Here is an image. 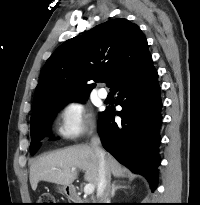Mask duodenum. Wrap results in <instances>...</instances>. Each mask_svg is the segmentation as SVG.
Instances as JSON below:
<instances>
[{"label": "duodenum", "instance_id": "410a0bca", "mask_svg": "<svg viewBox=\"0 0 200 205\" xmlns=\"http://www.w3.org/2000/svg\"><path fill=\"white\" fill-rule=\"evenodd\" d=\"M67 195H68V197H69L70 199H72V200H74V201L80 200V196H79L78 191H77L75 188H73V187H69V188L67 189Z\"/></svg>", "mask_w": 200, "mask_h": 205}]
</instances>
